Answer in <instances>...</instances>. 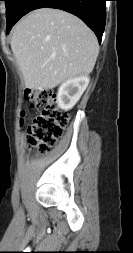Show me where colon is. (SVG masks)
Returning a JSON list of instances; mask_svg holds the SVG:
<instances>
[{"label": "colon", "instance_id": "5ec220e1", "mask_svg": "<svg viewBox=\"0 0 133 253\" xmlns=\"http://www.w3.org/2000/svg\"><path fill=\"white\" fill-rule=\"evenodd\" d=\"M24 97L38 110L28 127V142L41 153H46L62 137L69 121L68 114L60 110L56 95L50 90L28 89Z\"/></svg>", "mask_w": 133, "mask_h": 253}]
</instances>
